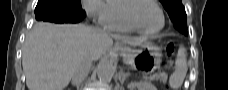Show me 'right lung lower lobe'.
Returning <instances> with one entry per match:
<instances>
[{"mask_svg": "<svg viewBox=\"0 0 228 90\" xmlns=\"http://www.w3.org/2000/svg\"><path fill=\"white\" fill-rule=\"evenodd\" d=\"M36 19L38 21H48L54 23H78L85 17V12L81 9L77 14L70 15L65 9L55 5V0H46L41 6L35 8Z\"/></svg>", "mask_w": 228, "mask_h": 90, "instance_id": "right-lung-lower-lobe-1", "label": "right lung lower lobe"}]
</instances>
